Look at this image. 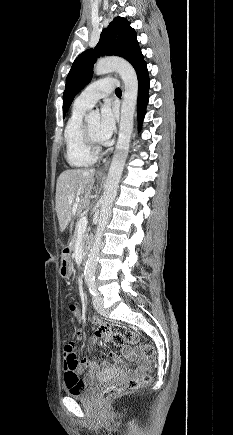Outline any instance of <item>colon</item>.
Returning <instances> with one entry per match:
<instances>
[{"label":"colon","instance_id":"1","mask_svg":"<svg viewBox=\"0 0 233 435\" xmlns=\"http://www.w3.org/2000/svg\"><path fill=\"white\" fill-rule=\"evenodd\" d=\"M111 341L116 345H122L124 343H132L136 344L139 348L142 358L149 362L153 363L156 360V349L154 346L146 344L141 341L138 335L134 331H127L126 333H120L118 331H114L111 334ZM73 344L66 343L63 347V353L72 354L73 353ZM152 368H150L146 373L137 375L130 380H128L124 384H116L112 386H107L102 389L99 394V402L103 405L110 404L114 399H116L119 395L133 390H138L144 385L148 384L151 379ZM69 391L73 393H77L80 389L84 388V383L79 379L77 375L70 374L67 376Z\"/></svg>","mask_w":233,"mask_h":435}]
</instances>
